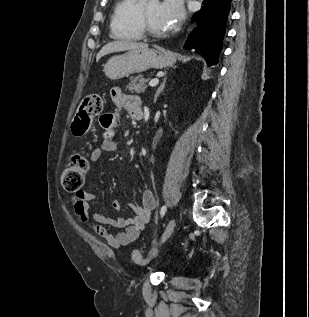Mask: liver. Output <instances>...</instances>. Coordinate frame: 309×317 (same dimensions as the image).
<instances>
[{
    "instance_id": "liver-1",
    "label": "liver",
    "mask_w": 309,
    "mask_h": 317,
    "mask_svg": "<svg viewBox=\"0 0 309 317\" xmlns=\"http://www.w3.org/2000/svg\"><path fill=\"white\" fill-rule=\"evenodd\" d=\"M148 45L145 43H137L132 41H125V40H117L110 42L102 47L99 53L96 56V61L98 62L103 56L120 52V51H127V50H134L140 48H147Z\"/></svg>"
}]
</instances>
